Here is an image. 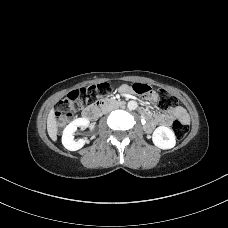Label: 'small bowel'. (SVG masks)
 Instances as JSON below:
<instances>
[{"label":"small bowel","instance_id":"c3829d8e","mask_svg":"<svg viewBox=\"0 0 228 228\" xmlns=\"http://www.w3.org/2000/svg\"><path fill=\"white\" fill-rule=\"evenodd\" d=\"M120 91H121L122 94L125 95V94L130 93L132 90H131V88L128 85H123L120 88ZM151 98L153 100H155L156 99V94L153 93L151 95ZM157 118L160 120L158 124L162 125V126H169L171 124L172 120L175 119V118L180 119L185 124L189 122V116L186 113L185 109L183 107H181V106H174L173 108H171V110L169 111L168 114L159 115V116H157ZM147 129L149 131L152 130L150 128H147Z\"/></svg>","mask_w":228,"mask_h":228}]
</instances>
